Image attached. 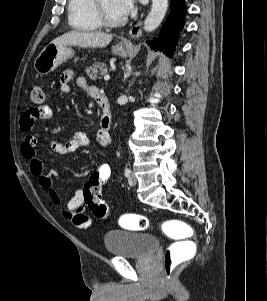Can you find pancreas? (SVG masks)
Listing matches in <instances>:
<instances>
[{"label":"pancreas","instance_id":"1","mask_svg":"<svg viewBox=\"0 0 267 301\" xmlns=\"http://www.w3.org/2000/svg\"><path fill=\"white\" fill-rule=\"evenodd\" d=\"M106 71L107 67L103 62L95 63L86 69L87 75L92 80H95L98 77V73H100V75H103Z\"/></svg>","mask_w":267,"mask_h":301}]
</instances>
